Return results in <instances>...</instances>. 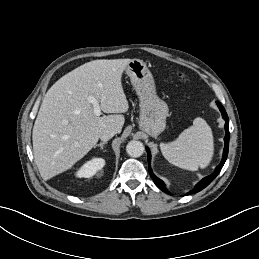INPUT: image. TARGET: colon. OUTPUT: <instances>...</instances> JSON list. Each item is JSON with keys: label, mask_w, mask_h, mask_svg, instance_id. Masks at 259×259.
Wrapping results in <instances>:
<instances>
[{"label": "colon", "mask_w": 259, "mask_h": 259, "mask_svg": "<svg viewBox=\"0 0 259 259\" xmlns=\"http://www.w3.org/2000/svg\"><path fill=\"white\" fill-rule=\"evenodd\" d=\"M177 75L180 77V78H182L183 80H187V78L185 77V75L184 74H182V73H177Z\"/></svg>", "instance_id": "obj_1"}]
</instances>
